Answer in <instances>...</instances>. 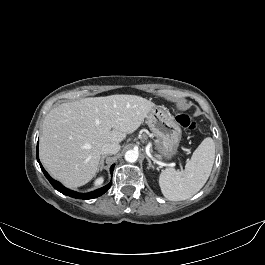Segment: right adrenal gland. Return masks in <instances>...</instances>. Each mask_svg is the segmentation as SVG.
Here are the masks:
<instances>
[{
	"mask_svg": "<svg viewBox=\"0 0 265 265\" xmlns=\"http://www.w3.org/2000/svg\"><path fill=\"white\" fill-rule=\"evenodd\" d=\"M107 156L106 155H103L100 159V163H99V167H98V171L102 170L104 168V159L106 158Z\"/></svg>",
	"mask_w": 265,
	"mask_h": 265,
	"instance_id": "obj_1",
	"label": "right adrenal gland"
}]
</instances>
